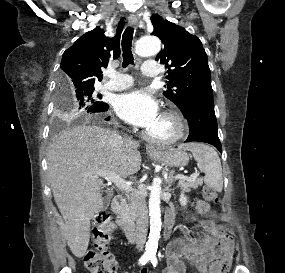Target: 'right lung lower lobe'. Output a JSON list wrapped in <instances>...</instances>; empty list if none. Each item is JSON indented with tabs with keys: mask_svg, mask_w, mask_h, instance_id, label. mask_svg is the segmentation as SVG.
<instances>
[{
	"mask_svg": "<svg viewBox=\"0 0 285 273\" xmlns=\"http://www.w3.org/2000/svg\"><path fill=\"white\" fill-rule=\"evenodd\" d=\"M108 108H109L108 104L104 103V104L99 108V110H98L97 113L105 112V111L108 110ZM108 119H109V118H107V120H108Z\"/></svg>",
	"mask_w": 285,
	"mask_h": 273,
	"instance_id": "98d812e1",
	"label": "right lung lower lobe"
}]
</instances>
